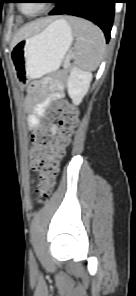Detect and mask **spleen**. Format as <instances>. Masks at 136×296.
<instances>
[{
  "instance_id": "obj_1",
  "label": "spleen",
  "mask_w": 136,
  "mask_h": 296,
  "mask_svg": "<svg viewBox=\"0 0 136 296\" xmlns=\"http://www.w3.org/2000/svg\"><path fill=\"white\" fill-rule=\"evenodd\" d=\"M69 22L76 37V65L87 71L95 70L105 53L103 32L93 23L84 19L69 17Z\"/></svg>"
}]
</instances>
